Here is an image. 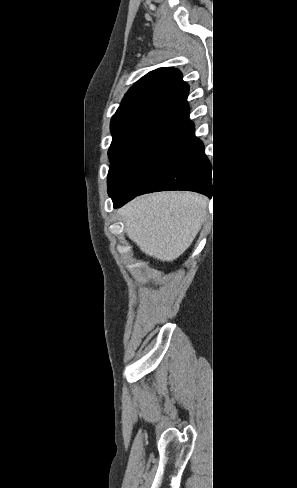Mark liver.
Here are the masks:
<instances>
[{"mask_svg":"<svg viewBox=\"0 0 297 488\" xmlns=\"http://www.w3.org/2000/svg\"><path fill=\"white\" fill-rule=\"evenodd\" d=\"M208 200L191 192H160L136 198L120 210L125 233L146 255L173 261L198 234Z\"/></svg>","mask_w":297,"mask_h":488,"instance_id":"6515ba94","label":"liver"}]
</instances>
